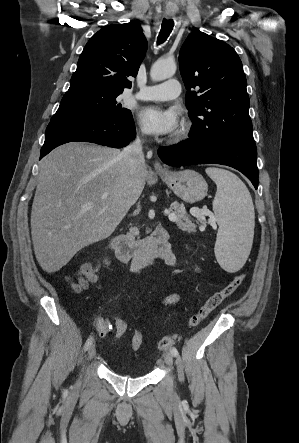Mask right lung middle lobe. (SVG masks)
I'll return each mask as SVG.
<instances>
[{
	"mask_svg": "<svg viewBox=\"0 0 299 443\" xmlns=\"http://www.w3.org/2000/svg\"><path fill=\"white\" fill-rule=\"evenodd\" d=\"M122 92L93 87L69 88L53 117L104 119L132 113L117 102Z\"/></svg>",
	"mask_w": 299,
	"mask_h": 443,
	"instance_id": "dd1d6c3e",
	"label": "right lung middle lobe"
}]
</instances>
